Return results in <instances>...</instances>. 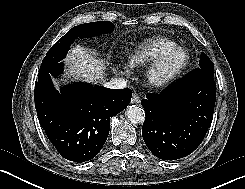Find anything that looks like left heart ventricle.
Returning <instances> with one entry per match:
<instances>
[{"mask_svg": "<svg viewBox=\"0 0 245 189\" xmlns=\"http://www.w3.org/2000/svg\"><path fill=\"white\" fill-rule=\"evenodd\" d=\"M184 59L185 54L183 52H176L169 58L166 68L172 69L182 63Z\"/></svg>", "mask_w": 245, "mask_h": 189, "instance_id": "left-heart-ventricle-1", "label": "left heart ventricle"}]
</instances>
